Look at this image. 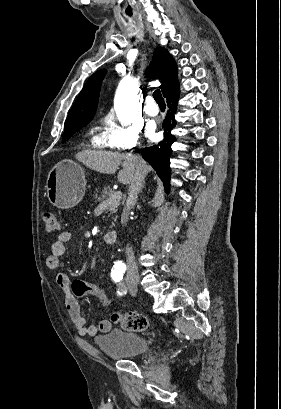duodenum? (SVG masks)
<instances>
[{
  "label": "duodenum",
  "mask_w": 281,
  "mask_h": 409,
  "mask_svg": "<svg viewBox=\"0 0 281 409\" xmlns=\"http://www.w3.org/2000/svg\"><path fill=\"white\" fill-rule=\"evenodd\" d=\"M117 240V233L114 231H109L104 235V241L107 244H114Z\"/></svg>",
  "instance_id": "obj_1"
}]
</instances>
